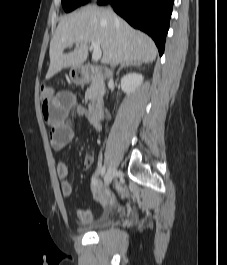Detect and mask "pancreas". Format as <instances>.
Here are the masks:
<instances>
[{"label": "pancreas", "instance_id": "pancreas-1", "mask_svg": "<svg viewBox=\"0 0 227 265\" xmlns=\"http://www.w3.org/2000/svg\"><path fill=\"white\" fill-rule=\"evenodd\" d=\"M99 87L103 88V84H101L97 79H94L90 85V87L87 89L86 92V99H91L99 89Z\"/></svg>", "mask_w": 227, "mask_h": 265}]
</instances>
